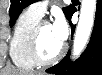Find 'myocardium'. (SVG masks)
Masks as SVG:
<instances>
[{
	"instance_id": "1",
	"label": "myocardium",
	"mask_w": 102,
	"mask_h": 75,
	"mask_svg": "<svg viewBox=\"0 0 102 75\" xmlns=\"http://www.w3.org/2000/svg\"><path fill=\"white\" fill-rule=\"evenodd\" d=\"M46 25H51L50 21L40 20L33 28L31 35L29 37V40H28V52H29L30 58L35 63V65H38V66H48L55 63L63 56V54L66 51V46L63 44L60 51L54 57L50 59H44L41 56L40 51H39V37H40L42 29Z\"/></svg>"
}]
</instances>
